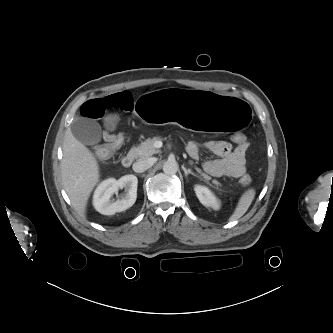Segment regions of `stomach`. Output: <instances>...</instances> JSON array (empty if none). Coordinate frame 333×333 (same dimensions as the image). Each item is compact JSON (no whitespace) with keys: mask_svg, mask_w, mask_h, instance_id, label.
Returning a JSON list of instances; mask_svg holds the SVG:
<instances>
[{"mask_svg":"<svg viewBox=\"0 0 333 333\" xmlns=\"http://www.w3.org/2000/svg\"><path fill=\"white\" fill-rule=\"evenodd\" d=\"M136 114L150 125L174 123L215 134L240 133L253 120L252 108L245 101L186 87L138 97Z\"/></svg>","mask_w":333,"mask_h":333,"instance_id":"stomach-1","label":"stomach"}]
</instances>
